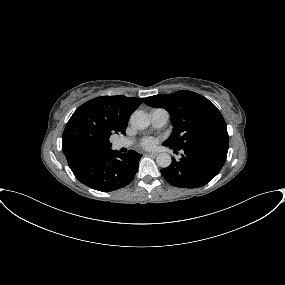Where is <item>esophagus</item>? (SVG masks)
Here are the masks:
<instances>
[{"label": "esophagus", "instance_id": "obj_1", "mask_svg": "<svg viewBox=\"0 0 285 285\" xmlns=\"http://www.w3.org/2000/svg\"><path fill=\"white\" fill-rule=\"evenodd\" d=\"M147 155H148V156H154V157H155V156H157V153H155V152H149V153H147Z\"/></svg>", "mask_w": 285, "mask_h": 285}]
</instances>
